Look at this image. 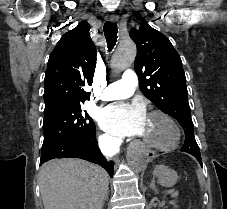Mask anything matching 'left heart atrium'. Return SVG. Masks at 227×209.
<instances>
[{"label": "left heart atrium", "instance_id": "39dd6f15", "mask_svg": "<svg viewBox=\"0 0 227 209\" xmlns=\"http://www.w3.org/2000/svg\"><path fill=\"white\" fill-rule=\"evenodd\" d=\"M143 101L114 102L103 108L98 115L100 127L112 135L132 136L138 134L147 122Z\"/></svg>", "mask_w": 227, "mask_h": 209}]
</instances>
